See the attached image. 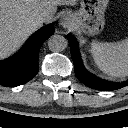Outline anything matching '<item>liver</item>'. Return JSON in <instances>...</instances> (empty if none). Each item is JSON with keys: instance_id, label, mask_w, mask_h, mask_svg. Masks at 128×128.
Segmentation results:
<instances>
[{"instance_id": "6515ba94", "label": "liver", "mask_w": 128, "mask_h": 128, "mask_svg": "<svg viewBox=\"0 0 128 128\" xmlns=\"http://www.w3.org/2000/svg\"><path fill=\"white\" fill-rule=\"evenodd\" d=\"M78 0H0V59L17 51L42 25L38 19L41 9L51 13L57 6H74Z\"/></svg>"}]
</instances>
